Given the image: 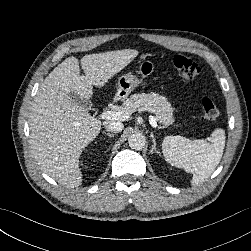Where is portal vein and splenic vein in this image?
<instances>
[{"instance_id": "18ae733b", "label": "portal vein and splenic vein", "mask_w": 251, "mask_h": 251, "mask_svg": "<svg viewBox=\"0 0 251 251\" xmlns=\"http://www.w3.org/2000/svg\"><path fill=\"white\" fill-rule=\"evenodd\" d=\"M100 117L102 119L107 120H117V121H125L130 118V112L126 109H118L116 111L108 110L104 111ZM149 122L153 128H157V122L154 116H150Z\"/></svg>"}]
</instances>
